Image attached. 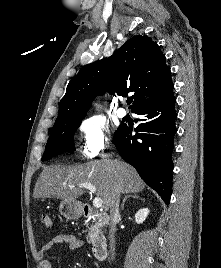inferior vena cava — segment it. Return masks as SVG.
Segmentation results:
<instances>
[{"label":"inferior vena cava","mask_w":221,"mask_h":268,"mask_svg":"<svg viewBox=\"0 0 221 268\" xmlns=\"http://www.w3.org/2000/svg\"><path fill=\"white\" fill-rule=\"evenodd\" d=\"M119 201H120V191L115 189L112 192L111 203H110V216L112 224L109 230V240H110V253L111 259L115 257V232H116V222L120 216L119 214Z\"/></svg>","instance_id":"1"}]
</instances>
